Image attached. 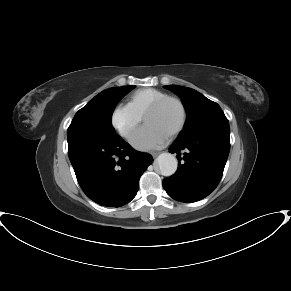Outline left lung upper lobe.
Wrapping results in <instances>:
<instances>
[{"label":"left lung upper lobe","mask_w":291,"mask_h":291,"mask_svg":"<svg viewBox=\"0 0 291 291\" xmlns=\"http://www.w3.org/2000/svg\"><path fill=\"white\" fill-rule=\"evenodd\" d=\"M164 87L181 98L187 113L184 128L176 140L188 139L216 127L229 126L220 106L198 91L179 85Z\"/></svg>","instance_id":"left-lung-upper-lobe-1"}]
</instances>
